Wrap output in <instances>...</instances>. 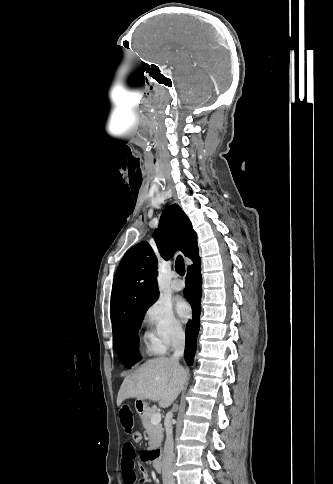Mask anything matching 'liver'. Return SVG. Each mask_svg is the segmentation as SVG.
Returning a JSON list of instances; mask_svg holds the SVG:
<instances>
[{
  "label": "liver",
  "instance_id": "obj_1",
  "mask_svg": "<svg viewBox=\"0 0 333 484\" xmlns=\"http://www.w3.org/2000/svg\"><path fill=\"white\" fill-rule=\"evenodd\" d=\"M186 381V370L178 360L158 357L147 360L124 378L117 395V405L129 398L157 401L169 407L177 398Z\"/></svg>",
  "mask_w": 333,
  "mask_h": 484
}]
</instances>
